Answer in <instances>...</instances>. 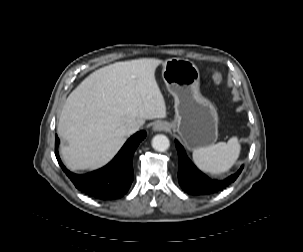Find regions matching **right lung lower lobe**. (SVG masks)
<instances>
[{
    "mask_svg": "<svg viewBox=\"0 0 303 252\" xmlns=\"http://www.w3.org/2000/svg\"><path fill=\"white\" fill-rule=\"evenodd\" d=\"M145 137V131L137 132L127 140L109 164L85 175L74 174L62 164L58 154L59 138L57 135L55 155L59 165L77 189L97 199H117L123 196L131 186L133 181V154Z\"/></svg>",
    "mask_w": 303,
    "mask_h": 252,
    "instance_id": "obj_1",
    "label": "right lung lower lobe"
}]
</instances>
